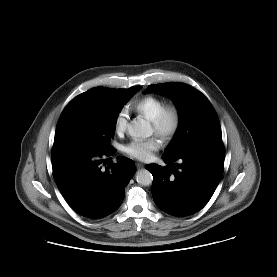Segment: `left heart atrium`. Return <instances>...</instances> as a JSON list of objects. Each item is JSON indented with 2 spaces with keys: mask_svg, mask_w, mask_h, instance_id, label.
I'll return each mask as SVG.
<instances>
[{
  "mask_svg": "<svg viewBox=\"0 0 277 277\" xmlns=\"http://www.w3.org/2000/svg\"><path fill=\"white\" fill-rule=\"evenodd\" d=\"M161 146L159 139L133 140L124 146V152L138 160L147 161Z\"/></svg>",
  "mask_w": 277,
  "mask_h": 277,
  "instance_id": "1",
  "label": "left heart atrium"
}]
</instances>
